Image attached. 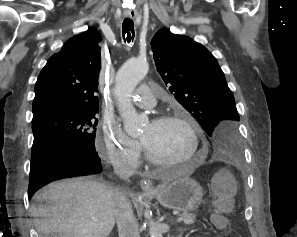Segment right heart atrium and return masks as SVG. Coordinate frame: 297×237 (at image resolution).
<instances>
[{
	"mask_svg": "<svg viewBox=\"0 0 297 237\" xmlns=\"http://www.w3.org/2000/svg\"><path fill=\"white\" fill-rule=\"evenodd\" d=\"M102 130L106 157L116 165L137 167L141 156L140 145L124 134L113 121L106 120Z\"/></svg>",
	"mask_w": 297,
	"mask_h": 237,
	"instance_id": "right-heart-atrium-1",
	"label": "right heart atrium"
}]
</instances>
